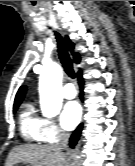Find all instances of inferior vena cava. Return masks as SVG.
Here are the masks:
<instances>
[{"instance_id":"inferior-vena-cava-1","label":"inferior vena cava","mask_w":135,"mask_h":166,"mask_svg":"<svg viewBox=\"0 0 135 166\" xmlns=\"http://www.w3.org/2000/svg\"><path fill=\"white\" fill-rule=\"evenodd\" d=\"M69 135L68 134H61L59 142L56 144L60 149H64L68 145Z\"/></svg>"}]
</instances>
